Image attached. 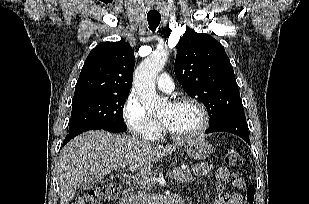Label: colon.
<instances>
[{"label":"colon","instance_id":"obj_1","mask_svg":"<svg viewBox=\"0 0 309 204\" xmlns=\"http://www.w3.org/2000/svg\"><path fill=\"white\" fill-rule=\"evenodd\" d=\"M226 163L233 167H241L243 160L235 148H229L226 153ZM121 187L117 182H107L87 190L79 196L73 204H100L118 198ZM255 188L250 185L246 188L245 204H254Z\"/></svg>","mask_w":309,"mask_h":204}]
</instances>
